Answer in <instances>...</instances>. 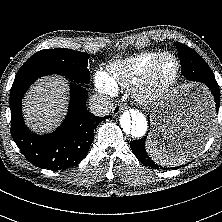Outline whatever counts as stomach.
I'll return each instance as SVG.
<instances>
[{"label":"stomach","mask_w":222,"mask_h":222,"mask_svg":"<svg viewBox=\"0 0 222 222\" xmlns=\"http://www.w3.org/2000/svg\"><path fill=\"white\" fill-rule=\"evenodd\" d=\"M212 112V101L204 87L197 84L177 86L163 97L151 113L149 138L169 147L181 128ZM209 136V135H208ZM205 140L191 153L199 150Z\"/></svg>","instance_id":"1"}]
</instances>
